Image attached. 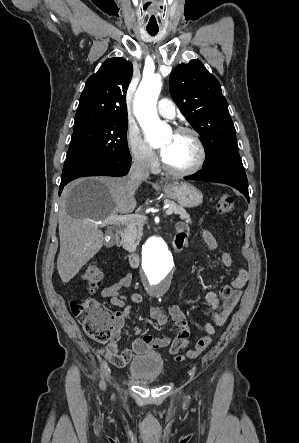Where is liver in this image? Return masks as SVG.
Returning <instances> with one entry per match:
<instances>
[{
  "instance_id": "6515ba94",
  "label": "liver",
  "mask_w": 299,
  "mask_h": 443,
  "mask_svg": "<svg viewBox=\"0 0 299 443\" xmlns=\"http://www.w3.org/2000/svg\"><path fill=\"white\" fill-rule=\"evenodd\" d=\"M128 178L79 179L62 192L59 210L60 252L57 270L68 283L104 244L102 231L91 222L127 214L136 207L134 194L126 189Z\"/></svg>"
}]
</instances>
